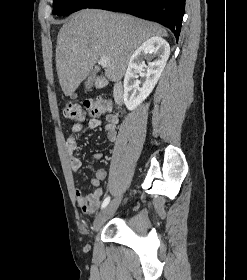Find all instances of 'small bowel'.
Masks as SVG:
<instances>
[{"label":"small bowel","mask_w":247,"mask_h":280,"mask_svg":"<svg viewBox=\"0 0 247 280\" xmlns=\"http://www.w3.org/2000/svg\"><path fill=\"white\" fill-rule=\"evenodd\" d=\"M117 124L118 117L116 115H108L106 123L104 124L101 119L92 118L88 121H80L73 123L70 127V135L67 139L66 146L68 150L69 162L72 170L77 174L81 169L82 162L77 156V135L86 129H97L103 126L109 141H115L117 137ZM94 159L100 160L102 154L99 152L94 153ZM106 170L100 168L96 171L91 183L94 186V191L89 195H83L77 190V203L81 210L88 215L93 214L100 206L104 191L100 187L101 182L106 178Z\"/></svg>","instance_id":"1"}]
</instances>
